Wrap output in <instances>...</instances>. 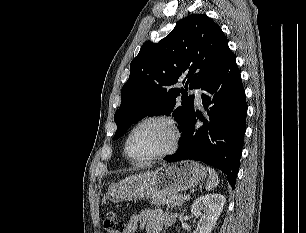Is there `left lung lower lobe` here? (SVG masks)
Masks as SVG:
<instances>
[{
    "label": "left lung lower lobe",
    "mask_w": 306,
    "mask_h": 233,
    "mask_svg": "<svg viewBox=\"0 0 306 233\" xmlns=\"http://www.w3.org/2000/svg\"><path fill=\"white\" fill-rule=\"evenodd\" d=\"M201 89L206 91L201 98L209 118L201 119L203 126L196 129L198 116L193 112L181 130L179 149L165 159H193L216 167L227 175L234 189L246 129L247 105L236 57L231 50Z\"/></svg>",
    "instance_id": "0a47b994"
}]
</instances>
